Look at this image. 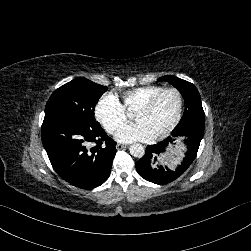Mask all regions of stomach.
Segmentation results:
<instances>
[{
    "label": "stomach",
    "mask_w": 251,
    "mask_h": 251,
    "mask_svg": "<svg viewBox=\"0 0 251 251\" xmlns=\"http://www.w3.org/2000/svg\"><path fill=\"white\" fill-rule=\"evenodd\" d=\"M192 152V142L188 138L175 139L165 146L154 158V167L166 174L178 173L183 167V160Z\"/></svg>",
    "instance_id": "stomach-1"
}]
</instances>
